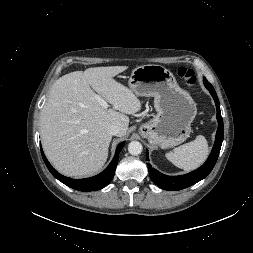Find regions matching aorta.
I'll list each match as a JSON object with an SVG mask.
<instances>
[{"label":"aorta","instance_id":"762f6f07","mask_svg":"<svg viewBox=\"0 0 253 253\" xmlns=\"http://www.w3.org/2000/svg\"><path fill=\"white\" fill-rule=\"evenodd\" d=\"M143 146L139 141H131L128 145V151L132 155H139L142 153Z\"/></svg>","mask_w":253,"mask_h":253}]
</instances>
